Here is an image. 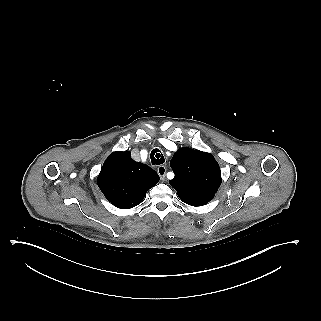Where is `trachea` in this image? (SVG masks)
<instances>
[{"label":"trachea","mask_w":321,"mask_h":321,"mask_svg":"<svg viewBox=\"0 0 321 321\" xmlns=\"http://www.w3.org/2000/svg\"><path fill=\"white\" fill-rule=\"evenodd\" d=\"M150 158L152 165H161L165 162V159L159 149L152 150Z\"/></svg>","instance_id":"trachea-1"}]
</instances>
